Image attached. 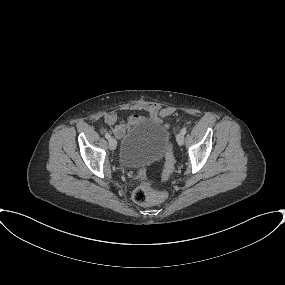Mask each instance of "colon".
<instances>
[{
    "instance_id": "obj_1",
    "label": "colon",
    "mask_w": 285,
    "mask_h": 285,
    "mask_svg": "<svg viewBox=\"0 0 285 285\" xmlns=\"http://www.w3.org/2000/svg\"><path fill=\"white\" fill-rule=\"evenodd\" d=\"M174 164L175 160L170 158L165 169V175L170 174ZM132 198L134 202L139 205H153L161 203L164 200V196L154 190L153 183L150 179L144 180L136 187L133 191Z\"/></svg>"
}]
</instances>
